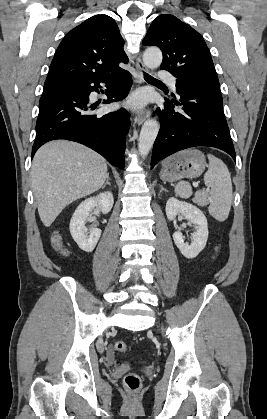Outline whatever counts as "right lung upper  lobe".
<instances>
[{"label": "right lung upper lobe", "instance_id": "right-lung-upper-lobe-1", "mask_svg": "<svg viewBox=\"0 0 267 419\" xmlns=\"http://www.w3.org/2000/svg\"><path fill=\"white\" fill-rule=\"evenodd\" d=\"M124 40L113 18L95 15L69 31L57 48L45 83L113 75L127 63Z\"/></svg>", "mask_w": 267, "mask_h": 419}]
</instances>
